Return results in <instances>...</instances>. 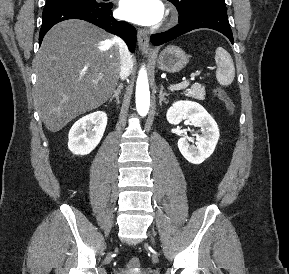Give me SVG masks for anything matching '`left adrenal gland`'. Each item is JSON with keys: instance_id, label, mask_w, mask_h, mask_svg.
Instances as JSON below:
<instances>
[{"instance_id": "left-adrenal-gland-1", "label": "left adrenal gland", "mask_w": 289, "mask_h": 274, "mask_svg": "<svg viewBox=\"0 0 289 274\" xmlns=\"http://www.w3.org/2000/svg\"><path fill=\"white\" fill-rule=\"evenodd\" d=\"M165 96H169V94L164 92V87L161 86V90L159 92V104L160 105H162V102L165 100Z\"/></svg>"}]
</instances>
